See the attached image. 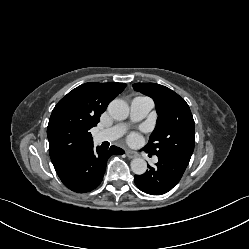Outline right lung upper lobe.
I'll list each match as a JSON object with an SVG mask.
<instances>
[{
  "mask_svg": "<svg viewBox=\"0 0 249 249\" xmlns=\"http://www.w3.org/2000/svg\"><path fill=\"white\" fill-rule=\"evenodd\" d=\"M125 83L89 82L63 97L52 111L48 127L49 154L57 174L93 144L89 130L100 121L108 104Z\"/></svg>",
  "mask_w": 249,
  "mask_h": 249,
  "instance_id": "obj_1",
  "label": "right lung upper lobe"
}]
</instances>
